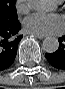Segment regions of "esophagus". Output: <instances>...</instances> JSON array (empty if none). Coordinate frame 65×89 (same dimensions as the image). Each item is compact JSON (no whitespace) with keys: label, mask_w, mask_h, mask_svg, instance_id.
I'll list each match as a JSON object with an SVG mask.
<instances>
[{"label":"esophagus","mask_w":65,"mask_h":89,"mask_svg":"<svg viewBox=\"0 0 65 89\" xmlns=\"http://www.w3.org/2000/svg\"><path fill=\"white\" fill-rule=\"evenodd\" d=\"M33 35L36 36V37L39 38V39H43V38L46 37L45 35H37V34H33Z\"/></svg>","instance_id":"obj_1"}]
</instances>
